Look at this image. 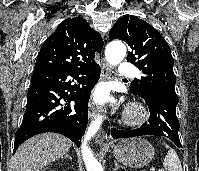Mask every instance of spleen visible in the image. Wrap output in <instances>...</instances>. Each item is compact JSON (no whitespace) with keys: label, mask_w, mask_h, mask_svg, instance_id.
<instances>
[{"label":"spleen","mask_w":199,"mask_h":171,"mask_svg":"<svg viewBox=\"0 0 199 171\" xmlns=\"http://www.w3.org/2000/svg\"><path fill=\"white\" fill-rule=\"evenodd\" d=\"M168 149L163 165L168 171H182V166L176 151L165 144Z\"/></svg>","instance_id":"1"}]
</instances>
